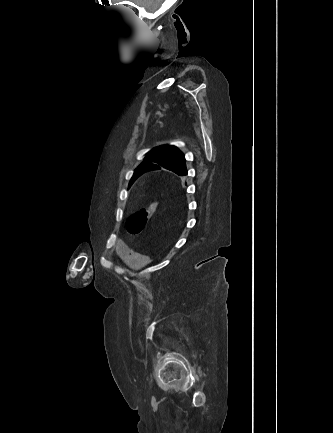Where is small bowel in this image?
Masks as SVG:
<instances>
[{
  "label": "small bowel",
  "mask_w": 333,
  "mask_h": 433,
  "mask_svg": "<svg viewBox=\"0 0 333 433\" xmlns=\"http://www.w3.org/2000/svg\"><path fill=\"white\" fill-rule=\"evenodd\" d=\"M117 253L120 259L135 269H143L151 262L149 255L136 252L127 246H119Z\"/></svg>",
  "instance_id": "1"
}]
</instances>
